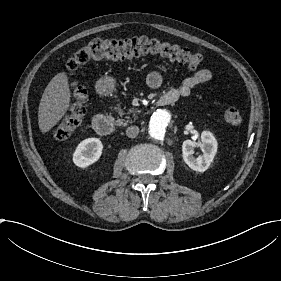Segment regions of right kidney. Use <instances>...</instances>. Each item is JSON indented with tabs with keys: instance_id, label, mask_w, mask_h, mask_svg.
Returning a JSON list of instances; mask_svg holds the SVG:
<instances>
[{
	"instance_id": "ca27d5eb",
	"label": "right kidney",
	"mask_w": 281,
	"mask_h": 281,
	"mask_svg": "<svg viewBox=\"0 0 281 281\" xmlns=\"http://www.w3.org/2000/svg\"><path fill=\"white\" fill-rule=\"evenodd\" d=\"M103 151V144L98 138H87L81 141L72 155L73 163L79 168H87L96 163Z\"/></svg>"
}]
</instances>
